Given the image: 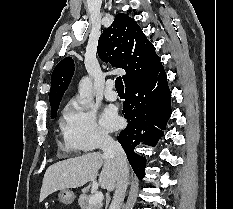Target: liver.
<instances>
[{"label":"liver","mask_w":233,"mask_h":209,"mask_svg":"<svg viewBox=\"0 0 233 209\" xmlns=\"http://www.w3.org/2000/svg\"><path fill=\"white\" fill-rule=\"evenodd\" d=\"M99 174V185L108 191L117 187L118 172L113 159L100 152L70 158L49 166L44 174L39 201L58 190L78 188L94 181Z\"/></svg>","instance_id":"1"}]
</instances>
